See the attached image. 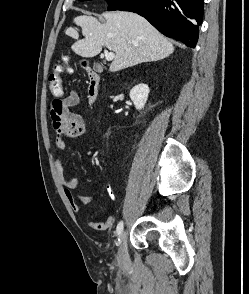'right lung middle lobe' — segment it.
Returning a JSON list of instances; mask_svg holds the SVG:
<instances>
[{
	"instance_id": "dd1d6c3e",
	"label": "right lung middle lobe",
	"mask_w": 249,
	"mask_h": 294,
	"mask_svg": "<svg viewBox=\"0 0 249 294\" xmlns=\"http://www.w3.org/2000/svg\"><path fill=\"white\" fill-rule=\"evenodd\" d=\"M79 1H86V0H79ZM108 3V11L111 10H118L126 0H106Z\"/></svg>"
}]
</instances>
